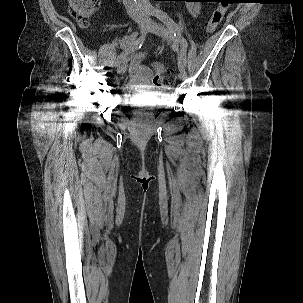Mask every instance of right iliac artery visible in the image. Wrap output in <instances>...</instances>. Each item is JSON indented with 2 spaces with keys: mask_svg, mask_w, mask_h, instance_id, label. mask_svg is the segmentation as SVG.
Masks as SVG:
<instances>
[{
  "mask_svg": "<svg viewBox=\"0 0 303 303\" xmlns=\"http://www.w3.org/2000/svg\"><path fill=\"white\" fill-rule=\"evenodd\" d=\"M149 32V30H147L142 36H140L139 38H137L130 46H128L127 48H125V50L117 57L116 61H115V65L119 66L120 64H123L126 62V57L136 51L137 49H140L141 46L143 45L145 39H146V35Z\"/></svg>",
  "mask_w": 303,
  "mask_h": 303,
  "instance_id": "obj_1",
  "label": "right iliac artery"
}]
</instances>
